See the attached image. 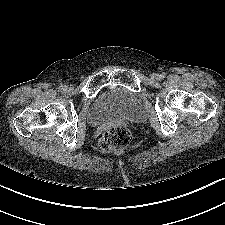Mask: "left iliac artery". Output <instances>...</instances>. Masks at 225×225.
Returning a JSON list of instances; mask_svg holds the SVG:
<instances>
[{"instance_id":"left-iliac-artery-1","label":"left iliac artery","mask_w":225,"mask_h":225,"mask_svg":"<svg viewBox=\"0 0 225 225\" xmlns=\"http://www.w3.org/2000/svg\"><path fill=\"white\" fill-rule=\"evenodd\" d=\"M164 77H165V75L163 73L159 75V78H161V79Z\"/></svg>"}]
</instances>
